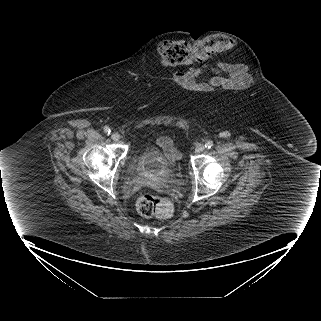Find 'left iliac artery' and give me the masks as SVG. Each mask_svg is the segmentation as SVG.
<instances>
[{"mask_svg": "<svg viewBox=\"0 0 321 321\" xmlns=\"http://www.w3.org/2000/svg\"><path fill=\"white\" fill-rule=\"evenodd\" d=\"M213 145V142L209 140L205 143V148L210 149L211 147H213Z\"/></svg>", "mask_w": 321, "mask_h": 321, "instance_id": "44dca946", "label": "left iliac artery"}]
</instances>
